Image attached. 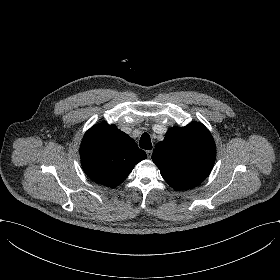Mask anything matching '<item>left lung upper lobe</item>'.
<instances>
[{
  "mask_svg": "<svg viewBox=\"0 0 280 280\" xmlns=\"http://www.w3.org/2000/svg\"><path fill=\"white\" fill-rule=\"evenodd\" d=\"M215 158L213 137L198 122L170 128L152 154L162 177L175 190L199 185L210 173Z\"/></svg>",
  "mask_w": 280,
  "mask_h": 280,
  "instance_id": "1",
  "label": "left lung upper lobe"
}]
</instances>
